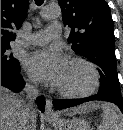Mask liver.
Returning a JSON list of instances; mask_svg holds the SVG:
<instances>
[{
	"mask_svg": "<svg viewBox=\"0 0 123 130\" xmlns=\"http://www.w3.org/2000/svg\"><path fill=\"white\" fill-rule=\"evenodd\" d=\"M25 100L7 88L1 86V130H21L22 112ZM95 106L86 104L71 110L68 115L85 113L94 109ZM29 130H36V112L33 109L30 114Z\"/></svg>",
	"mask_w": 123,
	"mask_h": 130,
	"instance_id": "1",
	"label": "liver"
}]
</instances>
